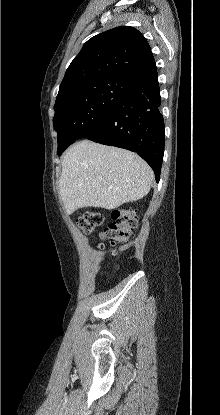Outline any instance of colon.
<instances>
[{"mask_svg":"<svg viewBox=\"0 0 220 415\" xmlns=\"http://www.w3.org/2000/svg\"><path fill=\"white\" fill-rule=\"evenodd\" d=\"M104 221L100 212L89 209L75 218L78 228L86 233L91 234L99 228ZM137 227V221L134 213L129 209H117L112 213V221L100 234L103 239H108L112 244H120L132 236Z\"/></svg>","mask_w":220,"mask_h":415,"instance_id":"5ec220e1","label":"colon"}]
</instances>
